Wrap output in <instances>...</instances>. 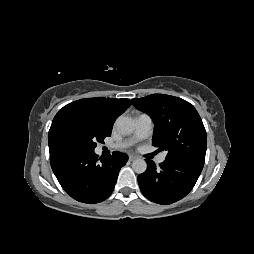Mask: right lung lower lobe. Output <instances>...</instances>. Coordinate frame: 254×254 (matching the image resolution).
Listing matches in <instances>:
<instances>
[{
  "mask_svg": "<svg viewBox=\"0 0 254 254\" xmlns=\"http://www.w3.org/2000/svg\"><path fill=\"white\" fill-rule=\"evenodd\" d=\"M49 151L52 170L62 188L75 200L89 204L111 195L128 160L119 152L98 159L94 150L65 144L50 146Z\"/></svg>",
  "mask_w": 254,
  "mask_h": 254,
  "instance_id": "obj_1",
  "label": "right lung lower lobe"
}]
</instances>
